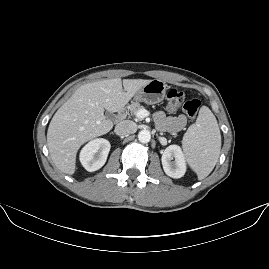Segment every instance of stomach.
Segmentation results:
<instances>
[{
    "label": "stomach",
    "instance_id": "0dacf381",
    "mask_svg": "<svg viewBox=\"0 0 269 269\" xmlns=\"http://www.w3.org/2000/svg\"><path fill=\"white\" fill-rule=\"evenodd\" d=\"M166 92V85L161 80H151L141 87L133 96L132 100L139 103L154 104L161 101Z\"/></svg>",
    "mask_w": 269,
    "mask_h": 269
}]
</instances>
